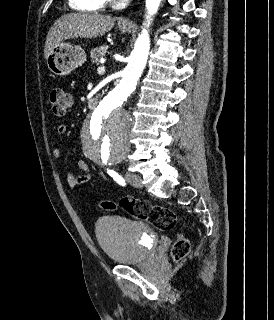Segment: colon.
Segmentation results:
<instances>
[{"instance_id":"1","label":"colon","mask_w":274,"mask_h":320,"mask_svg":"<svg viewBox=\"0 0 274 320\" xmlns=\"http://www.w3.org/2000/svg\"><path fill=\"white\" fill-rule=\"evenodd\" d=\"M49 102L52 106L53 114L55 116H63L71 106V99L69 93L62 87H53L49 91ZM122 205L124 210L131 216L145 219L151 225L164 232L171 229L175 223V214L173 211L154 205L149 201L143 199H127L123 198L117 206L113 205V201L101 200L99 207L115 212L117 207ZM190 251V241L180 233L173 245L172 256L174 260L183 259Z\"/></svg>"}]
</instances>
